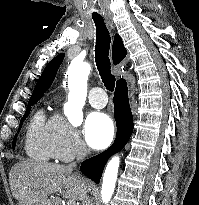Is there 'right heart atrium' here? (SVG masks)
I'll return each mask as SVG.
<instances>
[{
  "label": "right heart atrium",
  "mask_w": 199,
  "mask_h": 205,
  "mask_svg": "<svg viewBox=\"0 0 199 205\" xmlns=\"http://www.w3.org/2000/svg\"><path fill=\"white\" fill-rule=\"evenodd\" d=\"M51 125L55 159L68 162L87 151L79 132L65 118L56 114L51 118Z\"/></svg>",
  "instance_id": "right-heart-atrium-1"
}]
</instances>
